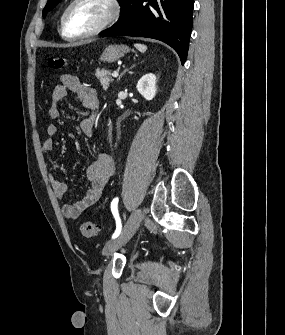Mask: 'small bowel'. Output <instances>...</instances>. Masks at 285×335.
Segmentation results:
<instances>
[{
    "label": "small bowel",
    "mask_w": 285,
    "mask_h": 335,
    "mask_svg": "<svg viewBox=\"0 0 285 335\" xmlns=\"http://www.w3.org/2000/svg\"><path fill=\"white\" fill-rule=\"evenodd\" d=\"M70 91L77 96L88 114L81 122V131L87 137L95 135V110L99 106V99L95 89L88 87L80 82V80L71 74H63L60 77V84L57 85L51 97V104L48 110L49 116L53 120L59 119L61 116L60 103ZM58 125L54 122L48 124L46 133L48 138L42 146L45 155H51L54 150L53 138L58 134ZM114 172V162L107 154H99L95 160L89 163L86 169V177L91 186L82 199L74 204H65L67 192V184L58 180L53 175L49 176L50 184L55 197L62 205V213L67 219H76L82 212L94 205L100 198L110 176Z\"/></svg>",
    "instance_id": "1"
}]
</instances>
